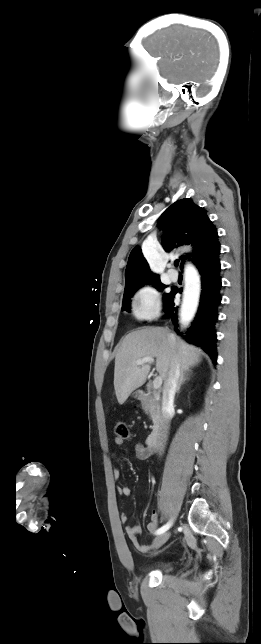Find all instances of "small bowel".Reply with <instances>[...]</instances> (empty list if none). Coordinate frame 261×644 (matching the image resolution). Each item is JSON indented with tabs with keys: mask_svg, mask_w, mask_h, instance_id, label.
Masks as SVG:
<instances>
[{
	"mask_svg": "<svg viewBox=\"0 0 261 644\" xmlns=\"http://www.w3.org/2000/svg\"><path fill=\"white\" fill-rule=\"evenodd\" d=\"M123 442H124L123 439L118 438V437L115 438V444L116 445L120 446V445L123 444ZM133 451H134L135 456L140 460L147 459L154 452L152 448H150V447H148V446H146L144 444H141V443L136 444L134 446V448H133ZM114 457H117V454H114ZM113 477H114L115 480H118L120 478V470L118 468H114ZM118 491H119L120 495H122L124 497H129L131 495V489L128 486L119 487ZM120 520H121L122 523H127L128 516L125 513H122L121 516H120ZM158 525H159L158 514H157L156 511H153L152 514H151V517H150V522L147 525V530L150 533H154V532L157 531ZM125 532H126V535H127L128 539L131 541L133 546L140 553H147L154 547L153 544H151V545L140 544V542L138 540V536L141 533V526L138 523H136V524H134L132 526H127L125 528Z\"/></svg>",
	"mask_w": 261,
	"mask_h": 644,
	"instance_id": "obj_1",
	"label": "small bowel"
}]
</instances>
